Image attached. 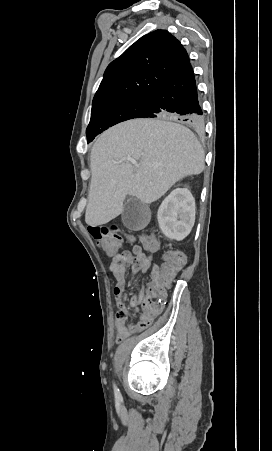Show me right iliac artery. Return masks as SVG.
<instances>
[{
  "label": "right iliac artery",
  "instance_id": "right-iliac-artery-1",
  "mask_svg": "<svg viewBox=\"0 0 272 451\" xmlns=\"http://www.w3.org/2000/svg\"><path fill=\"white\" fill-rule=\"evenodd\" d=\"M115 398L120 400L122 398L119 389L114 385Z\"/></svg>",
  "mask_w": 272,
  "mask_h": 451
}]
</instances>
